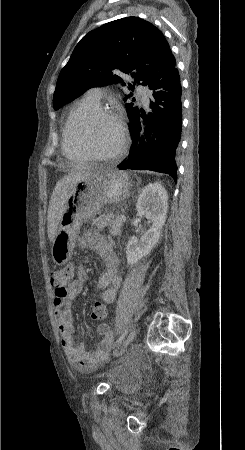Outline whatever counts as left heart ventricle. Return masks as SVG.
Instances as JSON below:
<instances>
[{"instance_id":"b2bd125f","label":"left heart ventricle","mask_w":245,"mask_h":450,"mask_svg":"<svg viewBox=\"0 0 245 450\" xmlns=\"http://www.w3.org/2000/svg\"><path fill=\"white\" fill-rule=\"evenodd\" d=\"M80 136L87 141L91 149L99 155L114 152L120 145L121 134L119 126L107 119L98 121L90 132H87L82 121L76 122Z\"/></svg>"}]
</instances>
